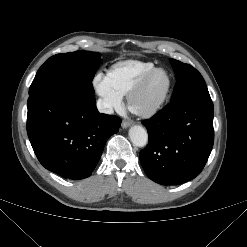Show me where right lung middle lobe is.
I'll list each match as a JSON object with an SVG mask.
<instances>
[{
	"label": "right lung middle lobe",
	"instance_id": "dd1d6c3e",
	"mask_svg": "<svg viewBox=\"0 0 247 247\" xmlns=\"http://www.w3.org/2000/svg\"><path fill=\"white\" fill-rule=\"evenodd\" d=\"M101 64L100 54L75 51L50 57L38 70L29 93L51 87L94 95L93 77Z\"/></svg>",
	"mask_w": 247,
	"mask_h": 247
}]
</instances>
